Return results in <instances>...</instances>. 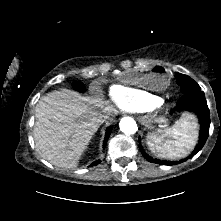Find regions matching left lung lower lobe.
I'll return each mask as SVG.
<instances>
[{"label": "left lung lower lobe", "mask_w": 221, "mask_h": 221, "mask_svg": "<svg viewBox=\"0 0 221 221\" xmlns=\"http://www.w3.org/2000/svg\"><path fill=\"white\" fill-rule=\"evenodd\" d=\"M177 111H186L193 113L197 116L199 124H200V136H199V142L192 152V154L188 157H193L196 153H198L206 143V140L209 135V127H210V112L209 108L207 106V101L205 99V95L203 91H197L194 93H188L184 94L177 102L176 105ZM139 149L143 155V157L148 160L151 163H157L161 165H175L182 163L186 161L188 158L181 160V161H175V162H169V161H161L158 159H153L149 157L145 151L143 150L142 146L139 145Z\"/></svg>", "instance_id": "0a47b994"}]
</instances>
